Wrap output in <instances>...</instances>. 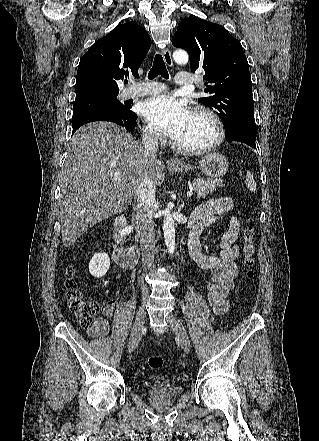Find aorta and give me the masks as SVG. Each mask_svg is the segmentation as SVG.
Returning <instances> with one entry per match:
<instances>
[{
    "instance_id": "obj_1",
    "label": "aorta",
    "mask_w": 319,
    "mask_h": 441,
    "mask_svg": "<svg viewBox=\"0 0 319 441\" xmlns=\"http://www.w3.org/2000/svg\"><path fill=\"white\" fill-rule=\"evenodd\" d=\"M173 59L176 63L184 65L188 62L189 56L187 51L183 49H179L173 53ZM163 214H164V220H163L164 240L168 252L170 254H173L175 249V221L171 215L169 208L164 210Z\"/></svg>"
}]
</instances>
